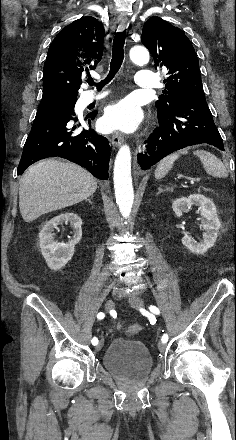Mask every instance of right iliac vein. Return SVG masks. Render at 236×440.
I'll return each mask as SVG.
<instances>
[{
  "instance_id": "right-iliac-vein-1",
  "label": "right iliac vein",
  "mask_w": 236,
  "mask_h": 440,
  "mask_svg": "<svg viewBox=\"0 0 236 440\" xmlns=\"http://www.w3.org/2000/svg\"><path fill=\"white\" fill-rule=\"evenodd\" d=\"M105 309L107 312L111 311L112 309H114V301L113 300H108L105 304ZM104 344L103 339H101L96 347V349L99 351L102 349Z\"/></svg>"
}]
</instances>
